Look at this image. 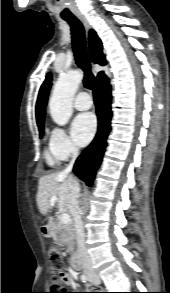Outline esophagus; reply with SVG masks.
Wrapping results in <instances>:
<instances>
[{
	"label": "esophagus",
	"mask_w": 170,
	"mask_h": 293,
	"mask_svg": "<svg viewBox=\"0 0 170 293\" xmlns=\"http://www.w3.org/2000/svg\"><path fill=\"white\" fill-rule=\"evenodd\" d=\"M78 18L82 22V24L84 25L86 31H88L90 29V24H89L88 20L83 15H79ZM95 67H96V64L92 63V70H93L94 74H96Z\"/></svg>",
	"instance_id": "1"
}]
</instances>
